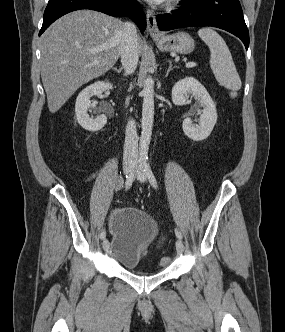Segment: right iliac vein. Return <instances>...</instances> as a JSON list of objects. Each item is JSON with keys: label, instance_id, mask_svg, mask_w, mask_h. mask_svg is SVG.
<instances>
[{"label": "right iliac vein", "instance_id": "right-iliac-vein-1", "mask_svg": "<svg viewBox=\"0 0 285 332\" xmlns=\"http://www.w3.org/2000/svg\"><path fill=\"white\" fill-rule=\"evenodd\" d=\"M132 169H133V165H132V164H127V165L124 166V173H125V174H128L129 172L132 171ZM103 249H104L105 251H108V249H109V242H108L107 239H105V240L103 241Z\"/></svg>", "mask_w": 285, "mask_h": 332}]
</instances>
